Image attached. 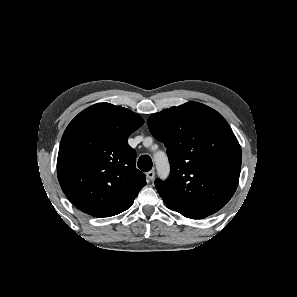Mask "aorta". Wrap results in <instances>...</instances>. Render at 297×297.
<instances>
[{"label":"aorta","instance_id":"1","mask_svg":"<svg viewBox=\"0 0 297 297\" xmlns=\"http://www.w3.org/2000/svg\"><path fill=\"white\" fill-rule=\"evenodd\" d=\"M154 162L158 171V174L161 175V177H166L169 173V164H168V158L166 153L164 152H157L154 154Z\"/></svg>","mask_w":297,"mask_h":297}]
</instances>
